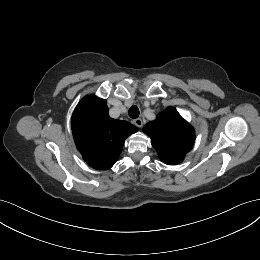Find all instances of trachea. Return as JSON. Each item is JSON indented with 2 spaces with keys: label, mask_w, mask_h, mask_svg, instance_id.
Instances as JSON below:
<instances>
[{
  "label": "trachea",
  "mask_w": 260,
  "mask_h": 260,
  "mask_svg": "<svg viewBox=\"0 0 260 260\" xmlns=\"http://www.w3.org/2000/svg\"><path fill=\"white\" fill-rule=\"evenodd\" d=\"M128 114L133 119L137 118L139 116V114H140L139 108L136 105H132L129 108Z\"/></svg>",
  "instance_id": "trachea-1"
}]
</instances>
